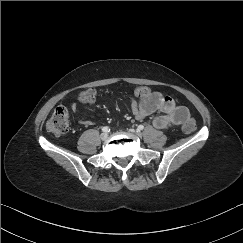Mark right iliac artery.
Returning a JSON list of instances; mask_svg holds the SVG:
<instances>
[{"mask_svg": "<svg viewBox=\"0 0 243 243\" xmlns=\"http://www.w3.org/2000/svg\"><path fill=\"white\" fill-rule=\"evenodd\" d=\"M102 131H103V132H109L110 129H109V127L105 126V127L102 128Z\"/></svg>", "mask_w": 243, "mask_h": 243, "instance_id": "1", "label": "right iliac artery"}]
</instances>
